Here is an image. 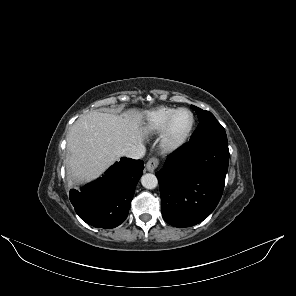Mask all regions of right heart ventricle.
Segmentation results:
<instances>
[{
    "instance_id": "1",
    "label": "right heart ventricle",
    "mask_w": 296,
    "mask_h": 296,
    "mask_svg": "<svg viewBox=\"0 0 296 296\" xmlns=\"http://www.w3.org/2000/svg\"><path fill=\"white\" fill-rule=\"evenodd\" d=\"M175 110L171 107H159L148 112L141 126V133L145 136L160 134Z\"/></svg>"
}]
</instances>
